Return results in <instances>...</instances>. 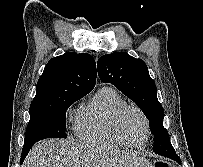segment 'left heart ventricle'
Here are the masks:
<instances>
[{"mask_svg":"<svg viewBox=\"0 0 203 167\" xmlns=\"http://www.w3.org/2000/svg\"><path fill=\"white\" fill-rule=\"evenodd\" d=\"M119 128L125 138L132 143H141L145 137L144 122L134 110H128L122 115Z\"/></svg>","mask_w":203,"mask_h":167,"instance_id":"left-heart-ventricle-1","label":"left heart ventricle"}]
</instances>
